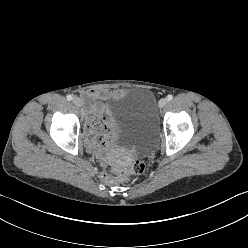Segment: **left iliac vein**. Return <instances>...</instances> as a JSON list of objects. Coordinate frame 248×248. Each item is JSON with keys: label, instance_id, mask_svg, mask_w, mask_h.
<instances>
[{"label": "left iliac vein", "instance_id": "left-iliac-vein-1", "mask_svg": "<svg viewBox=\"0 0 248 248\" xmlns=\"http://www.w3.org/2000/svg\"><path fill=\"white\" fill-rule=\"evenodd\" d=\"M167 103H168V100L166 98H162L159 100L158 106L160 108H164L167 105Z\"/></svg>", "mask_w": 248, "mask_h": 248}]
</instances>
